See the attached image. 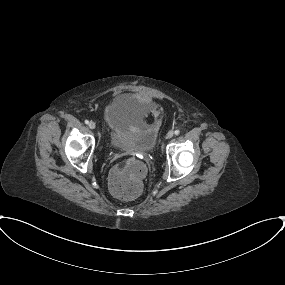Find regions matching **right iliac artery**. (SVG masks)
I'll list each match as a JSON object with an SVG mask.
<instances>
[{"mask_svg":"<svg viewBox=\"0 0 285 285\" xmlns=\"http://www.w3.org/2000/svg\"><path fill=\"white\" fill-rule=\"evenodd\" d=\"M85 124H89V121H88V120H85Z\"/></svg>","mask_w":285,"mask_h":285,"instance_id":"82829eb1","label":"right iliac artery"}]
</instances>
